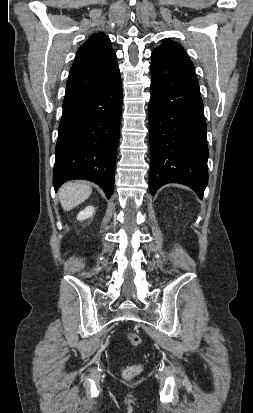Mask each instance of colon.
<instances>
[{"instance_id":"obj_1","label":"colon","mask_w":253,"mask_h":413,"mask_svg":"<svg viewBox=\"0 0 253 413\" xmlns=\"http://www.w3.org/2000/svg\"><path fill=\"white\" fill-rule=\"evenodd\" d=\"M126 340L129 346L137 347L141 343V337L135 332H128ZM142 370L141 365H131L124 369L123 377L127 380H131L136 377Z\"/></svg>"}]
</instances>
